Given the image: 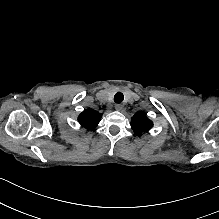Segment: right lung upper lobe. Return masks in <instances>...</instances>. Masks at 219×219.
Here are the masks:
<instances>
[{"mask_svg":"<svg viewBox=\"0 0 219 219\" xmlns=\"http://www.w3.org/2000/svg\"><path fill=\"white\" fill-rule=\"evenodd\" d=\"M102 114L98 113L93 109L84 110L78 117L79 123L91 130L94 129L100 121Z\"/></svg>","mask_w":219,"mask_h":219,"instance_id":"1","label":"right lung upper lobe"}]
</instances>
